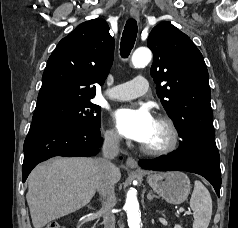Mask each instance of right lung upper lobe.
Masks as SVG:
<instances>
[{"instance_id": "cb5924a9", "label": "right lung upper lobe", "mask_w": 238, "mask_h": 228, "mask_svg": "<svg viewBox=\"0 0 238 228\" xmlns=\"http://www.w3.org/2000/svg\"><path fill=\"white\" fill-rule=\"evenodd\" d=\"M114 57V38L103 19L86 21L63 38L48 59L33 117L88 101Z\"/></svg>"}]
</instances>
